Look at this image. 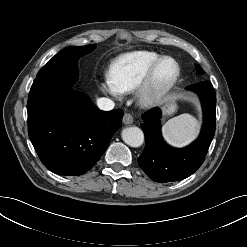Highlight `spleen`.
I'll return each mask as SVG.
<instances>
[{
  "label": "spleen",
  "mask_w": 247,
  "mask_h": 247,
  "mask_svg": "<svg viewBox=\"0 0 247 247\" xmlns=\"http://www.w3.org/2000/svg\"><path fill=\"white\" fill-rule=\"evenodd\" d=\"M198 131V120L189 114H181L168 120L163 126L162 133L167 143L182 147L193 141Z\"/></svg>",
  "instance_id": "3e777b00"
}]
</instances>
